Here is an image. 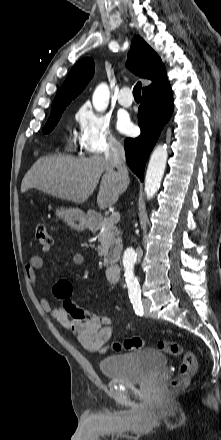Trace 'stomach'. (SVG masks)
I'll list each match as a JSON object with an SVG mask.
<instances>
[{
  "label": "stomach",
  "instance_id": "1",
  "mask_svg": "<svg viewBox=\"0 0 221 440\" xmlns=\"http://www.w3.org/2000/svg\"><path fill=\"white\" fill-rule=\"evenodd\" d=\"M56 215L64 219L68 226L77 231H82L92 224V219L78 208L57 209Z\"/></svg>",
  "mask_w": 221,
  "mask_h": 440
}]
</instances>
